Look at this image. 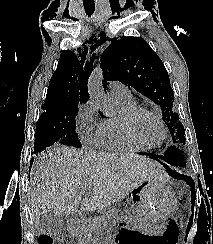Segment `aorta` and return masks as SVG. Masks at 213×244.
<instances>
[{
	"label": "aorta",
	"mask_w": 213,
	"mask_h": 244,
	"mask_svg": "<svg viewBox=\"0 0 213 244\" xmlns=\"http://www.w3.org/2000/svg\"><path fill=\"white\" fill-rule=\"evenodd\" d=\"M103 74L100 68L94 69L88 82V92L90 99L96 103L106 116H111L114 113V107L111 99L105 93L103 85Z\"/></svg>",
	"instance_id": "762f6f07"
}]
</instances>
